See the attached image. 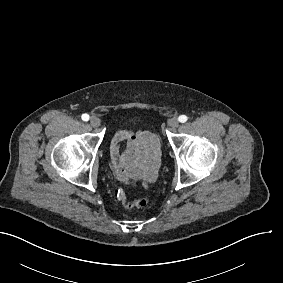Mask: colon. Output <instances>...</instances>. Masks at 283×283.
<instances>
[{
  "mask_svg": "<svg viewBox=\"0 0 283 283\" xmlns=\"http://www.w3.org/2000/svg\"><path fill=\"white\" fill-rule=\"evenodd\" d=\"M149 204V200L147 197L145 196H138L136 198H134L133 200H131L128 204H127V208L129 209H133V208H145L147 207Z\"/></svg>",
  "mask_w": 283,
  "mask_h": 283,
  "instance_id": "5ec220e1",
  "label": "colon"
}]
</instances>
